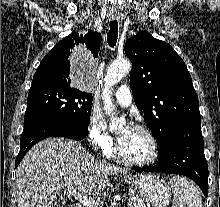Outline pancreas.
I'll return each mask as SVG.
<instances>
[{
    "label": "pancreas",
    "mask_w": 220,
    "mask_h": 207,
    "mask_svg": "<svg viewBox=\"0 0 220 207\" xmlns=\"http://www.w3.org/2000/svg\"><path fill=\"white\" fill-rule=\"evenodd\" d=\"M128 207H146V205L141 199L134 198L129 202Z\"/></svg>",
    "instance_id": "obj_1"
}]
</instances>
